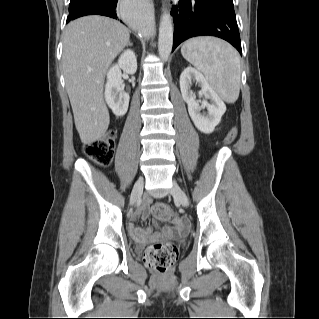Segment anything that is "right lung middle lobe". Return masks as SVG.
Masks as SVG:
<instances>
[{
  "label": "right lung middle lobe",
  "mask_w": 319,
  "mask_h": 319,
  "mask_svg": "<svg viewBox=\"0 0 319 319\" xmlns=\"http://www.w3.org/2000/svg\"><path fill=\"white\" fill-rule=\"evenodd\" d=\"M84 0H71L69 4V12L78 7Z\"/></svg>",
  "instance_id": "dd1d6c3e"
}]
</instances>
